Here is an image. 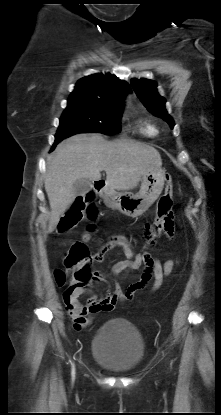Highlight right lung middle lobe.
Masks as SVG:
<instances>
[{
    "mask_svg": "<svg viewBox=\"0 0 221 415\" xmlns=\"http://www.w3.org/2000/svg\"><path fill=\"white\" fill-rule=\"evenodd\" d=\"M122 106L90 101H68L55 139L61 141L76 133L97 132L113 135L120 132Z\"/></svg>",
    "mask_w": 221,
    "mask_h": 415,
    "instance_id": "1",
    "label": "right lung middle lobe"
}]
</instances>
